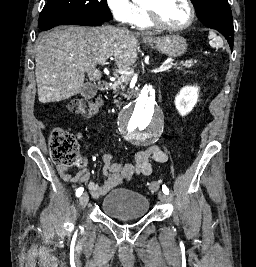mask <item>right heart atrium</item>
Here are the masks:
<instances>
[{"label": "right heart atrium", "mask_w": 256, "mask_h": 267, "mask_svg": "<svg viewBox=\"0 0 256 267\" xmlns=\"http://www.w3.org/2000/svg\"><path fill=\"white\" fill-rule=\"evenodd\" d=\"M135 10L131 15H128L126 17H118L114 12H113V18L117 22H120V24L123 25H133V21L136 17L142 15V10L140 6H134Z\"/></svg>", "instance_id": "obj_1"}]
</instances>
